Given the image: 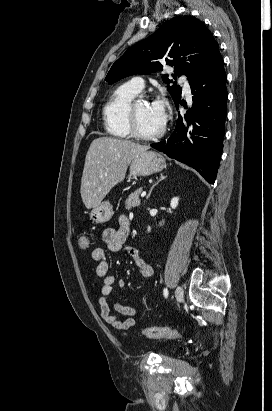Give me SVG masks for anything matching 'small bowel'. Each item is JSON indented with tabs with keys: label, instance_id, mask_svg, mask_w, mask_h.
Masks as SVG:
<instances>
[{
	"label": "small bowel",
	"instance_id": "1",
	"mask_svg": "<svg viewBox=\"0 0 272 411\" xmlns=\"http://www.w3.org/2000/svg\"><path fill=\"white\" fill-rule=\"evenodd\" d=\"M129 234L130 223L126 218H121L119 228H106L103 230L102 240L106 244L108 251L112 254L125 251L135 262L139 274L143 278H149L153 274V267L149 261L140 256L136 248L126 244ZM91 256L96 263V274L102 280L101 295L98 299L101 318L105 323L117 330L135 328L137 325L135 316L138 314L136 308L124 305L119 301L115 302L114 311L121 315V318H118L108 303V298L112 295L115 284L117 283L122 288L124 283L122 281L116 282L114 275L110 273L104 249L95 248Z\"/></svg>",
	"mask_w": 272,
	"mask_h": 411
}]
</instances>
